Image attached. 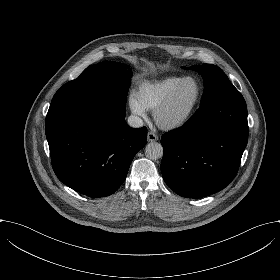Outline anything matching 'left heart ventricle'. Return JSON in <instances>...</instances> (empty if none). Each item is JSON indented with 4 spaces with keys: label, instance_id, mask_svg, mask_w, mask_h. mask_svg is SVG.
<instances>
[{
    "label": "left heart ventricle",
    "instance_id": "b2bd125f",
    "mask_svg": "<svg viewBox=\"0 0 280 280\" xmlns=\"http://www.w3.org/2000/svg\"><path fill=\"white\" fill-rule=\"evenodd\" d=\"M199 95V83L195 79L187 80L174 99L169 116L176 117L189 111Z\"/></svg>",
    "mask_w": 280,
    "mask_h": 280
}]
</instances>
